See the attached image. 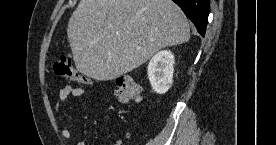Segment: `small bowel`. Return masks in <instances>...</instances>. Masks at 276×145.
<instances>
[{
    "instance_id": "1",
    "label": "small bowel",
    "mask_w": 276,
    "mask_h": 145,
    "mask_svg": "<svg viewBox=\"0 0 276 145\" xmlns=\"http://www.w3.org/2000/svg\"><path fill=\"white\" fill-rule=\"evenodd\" d=\"M86 90L83 87H74L72 85H65L60 90L58 97L54 104V111L58 121L64 126L62 130V136L64 138H70L71 130L67 126V118L63 111V103L71 96L77 97L84 95ZM115 145H122V141L116 139L114 142ZM77 145H87L85 142H79Z\"/></svg>"
}]
</instances>
